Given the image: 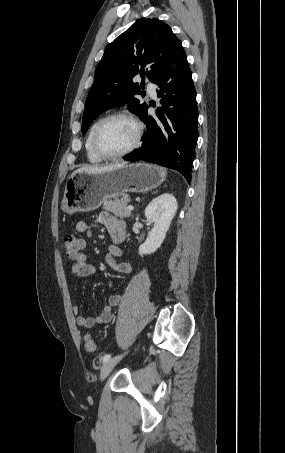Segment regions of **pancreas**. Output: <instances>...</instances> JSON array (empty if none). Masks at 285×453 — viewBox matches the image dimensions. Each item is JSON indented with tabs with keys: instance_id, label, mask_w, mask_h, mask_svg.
Returning <instances> with one entry per match:
<instances>
[{
	"instance_id": "pancreas-1",
	"label": "pancreas",
	"mask_w": 285,
	"mask_h": 453,
	"mask_svg": "<svg viewBox=\"0 0 285 453\" xmlns=\"http://www.w3.org/2000/svg\"><path fill=\"white\" fill-rule=\"evenodd\" d=\"M130 201L128 196H124L117 200H106L103 203V209L113 213L115 216L120 218H129L132 214V210L127 209V204Z\"/></svg>"
}]
</instances>
